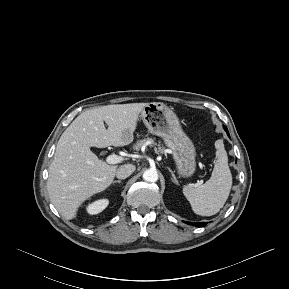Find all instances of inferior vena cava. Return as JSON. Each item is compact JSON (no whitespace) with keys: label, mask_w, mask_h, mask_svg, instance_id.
Instances as JSON below:
<instances>
[{"label":"inferior vena cava","mask_w":289,"mask_h":289,"mask_svg":"<svg viewBox=\"0 0 289 289\" xmlns=\"http://www.w3.org/2000/svg\"><path fill=\"white\" fill-rule=\"evenodd\" d=\"M135 169L136 167L132 164L120 166L116 171V177L118 179H125L129 177L135 171Z\"/></svg>","instance_id":"inferior-vena-cava-1"}]
</instances>
